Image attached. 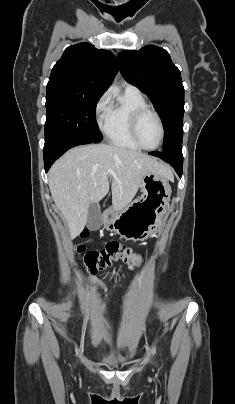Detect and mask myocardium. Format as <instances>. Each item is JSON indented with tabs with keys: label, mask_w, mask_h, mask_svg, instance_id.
Returning a JSON list of instances; mask_svg holds the SVG:
<instances>
[{
	"label": "myocardium",
	"mask_w": 235,
	"mask_h": 404,
	"mask_svg": "<svg viewBox=\"0 0 235 404\" xmlns=\"http://www.w3.org/2000/svg\"><path fill=\"white\" fill-rule=\"evenodd\" d=\"M146 113H151L156 117L158 124H159V128H160V138H159L158 143L154 147L144 146L140 142L139 137H138L139 122ZM130 133H131L132 139L140 147V149L151 151V150H155V149L159 148L161 146V144L163 143L164 136H165V128H164V124H163L160 114L155 109L148 107V106H144V107H141V108L135 110L134 113L132 114L131 120H130Z\"/></svg>",
	"instance_id": "f54148a6"
}]
</instances>
